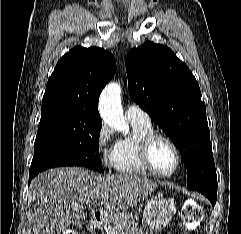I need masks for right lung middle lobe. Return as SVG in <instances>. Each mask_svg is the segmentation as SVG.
I'll list each match as a JSON object with an SVG mask.
<instances>
[{
	"label": "right lung middle lobe",
	"instance_id": "1",
	"mask_svg": "<svg viewBox=\"0 0 241 234\" xmlns=\"http://www.w3.org/2000/svg\"><path fill=\"white\" fill-rule=\"evenodd\" d=\"M101 127L102 120L87 117L74 108H41L31 165L48 157L63 156L77 160L81 166L104 172L99 156Z\"/></svg>",
	"mask_w": 241,
	"mask_h": 234
}]
</instances>
